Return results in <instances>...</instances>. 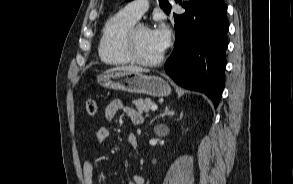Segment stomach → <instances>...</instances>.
<instances>
[{"instance_id":"0dacf381","label":"stomach","mask_w":293,"mask_h":184,"mask_svg":"<svg viewBox=\"0 0 293 184\" xmlns=\"http://www.w3.org/2000/svg\"><path fill=\"white\" fill-rule=\"evenodd\" d=\"M97 82L107 89L154 97H165L171 93V87L161 77L147 76L139 72L106 71L98 76Z\"/></svg>"}]
</instances>
